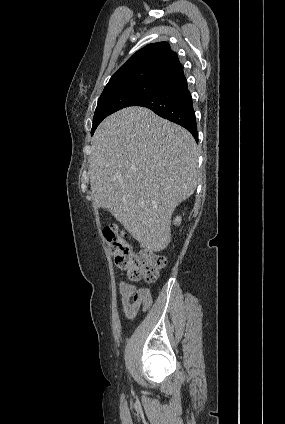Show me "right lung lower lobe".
<instances>
[{"label":"right lung lower lobe","instance_id":"1","mask_svg":"<svg viewBox=\"0 0 285 424\" xmlns=\"http://www.w3.org/2000/svg\"><path fill=\"white\" fill-rule=\"evenodd\" d=\"M129 106H142L187 129L198 142L197 124L191 94L183 75L164 83L155 92Z\"/></svg>","mask_w":285,"mask_h":424}]
</instances>
